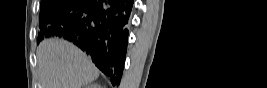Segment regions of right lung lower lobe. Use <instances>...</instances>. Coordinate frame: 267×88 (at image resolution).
<instances>
[{
    "label": "right lung lower lobe",
    "instance_id": "98d812e1",
    "mask_svg": "<svg viewBox=\"0 0 267 88\" xmlns=\"http://www.w3.org/2000/svg\"><path fill=\"white\" fill-rule=\"evenodd\" d=\"M133 0H80L44 27V37L68 39L119 85L127 51Z\"/></svg>",
    "mask_w": 267,
    "mask_h": 88
}]
</instances>
